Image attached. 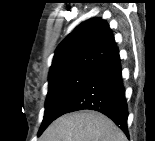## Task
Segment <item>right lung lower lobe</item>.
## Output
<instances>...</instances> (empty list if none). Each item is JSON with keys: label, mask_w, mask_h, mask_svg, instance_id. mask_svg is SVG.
Instances as JSON below:
<instances>
[{"label": "right lung lower lobe", "mask_w": 155, "mask_h": 141, "mask_svg": "<svg viewBox=\"0 0 155 141\" xmlns=\"http://www.w3.org/2000/svg\"><path fill=\"white\" fill-rule=\"evenodd\" d=\"M84 109L108 116L129 137L128 109L117 47L62 107L59 115Z\"/></svg>", "instance_id": "obj_1"}]
</instances>
